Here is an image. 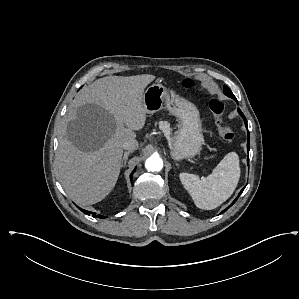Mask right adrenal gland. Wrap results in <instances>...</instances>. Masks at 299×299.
Masks as SVG:
<instances>
[{"instance_id":"obj_1","label":"right adrenal gland","mask_w":299,"mask_h":299,"mask_svg":"<svg viewBox=\"0 0 299 299\" xmlns=\"http://www.w3.org/2000/svg\"><path fill=\"white\" fill-rule=\"evenodd\" d=\"M131 153H132V151H126V152H124V156H123V159H122V167H124V166L126 165L128 156H129V154H131Z\"/></svg>"}]
</instances>
